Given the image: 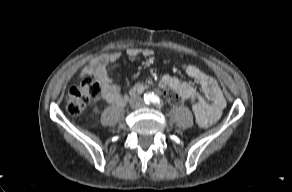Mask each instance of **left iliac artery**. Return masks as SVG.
Instances as JSON below:
<instances>
[{"mask_svg": "<svg viewBox=\"0 0 292 192\" xmlns=\"http://www.w3.org/2000/svg\"><path fill=\"white\" fill-rule=\"evenodd\" d=\"M152 103L155 104L156 106L160 107V108L163 106V102L157 96H153Z\"/></svg>", "mask_w": 292, "mask_h": 192, "instance_id": "1", "label": "left iliac artery"}]
</instances>
